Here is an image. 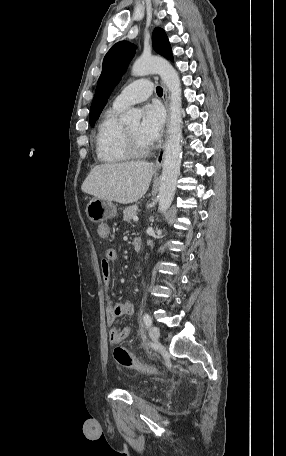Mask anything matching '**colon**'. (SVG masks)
I'll use <instances>...</instances> for the list:
<instances>
[{"label": "colon", "mask_w": 286, "mask_h": 456, "mask_svg": "<svg viewBox=\"0 0 286 456\" xmlns=\"http://www.w3.org/2000/svg\"><path fill=\"white\" fill-rule=\"evenodd\" d=\"M113 354L116 362L122 367L134 369L149 375L162 374L159 369L141 362L123 347H116Z\"/></svg>", "instance_id": "1"}]
</instances>
